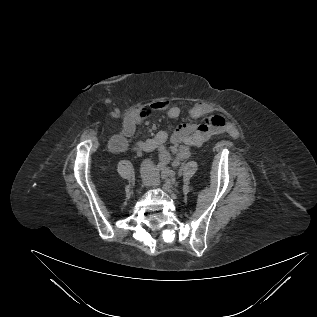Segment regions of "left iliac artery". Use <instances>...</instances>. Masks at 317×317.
I'll return each mask as SVG.
<instances>
[{"label": "left iliac artery", "instance_id": "left-iliac-artery-1", "mask_svg": "<svg viewBox=\"0 0 317 317\" xmlns=\"http://www.w3.org/2000/svg\"><path fill=\"white\" fill-rule=\"evenodd\" d=\"M171 172V170H169L168 168H165L162 172V176L163 178H166L169 176V173Z\"/></svg>", "mask_w": 317, "mask_h": 317}]
</instances>
